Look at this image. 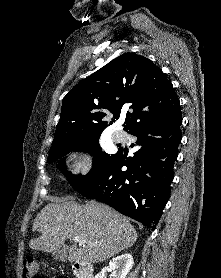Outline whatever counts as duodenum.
Returning a JSON list of instances; mask_svg holds the SVG:
<instances>
[{
  "mask_svg": "<svg viewBox=\"0 0 221 278\" xmlns=\"http://www.w3.org/2000/svg\"><path fill=\"white\" fill-rule=\"evenodd\" d=\"M75 278H93L92 266L84 262H76L72 265Z\"/></svg>",
  "mask_w": 221,
  "mask_h": 278,
  "instance_id": "obj_1",
  "label": "duodenum"
}]
</instances>
